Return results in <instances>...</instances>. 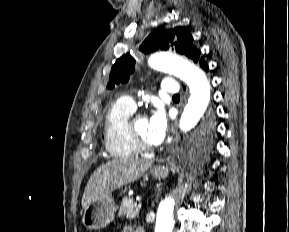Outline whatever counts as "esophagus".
I'll use <instances>...</instances> for the list:
<instances>
[{"label": "esophagus", "mask_w": 289, "mask_h": 232, "mask_svg": "<svg viewBox=\"0 0 289 232\" xmlns=\"http://www.w3.org/2000/svg\"><path fill=\"white\" fill-rule=\"evenodd\" d=\"M172 132H173V135H174L173 145H175L179 141V135L177 133V121L173 125Z\"/></svg>", "instance_id": "obj_1"}]
</instances>
